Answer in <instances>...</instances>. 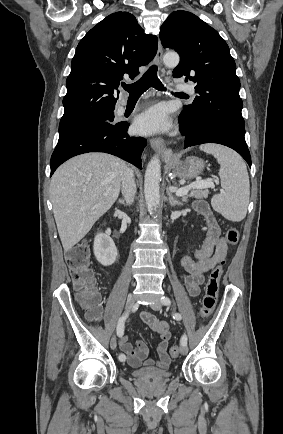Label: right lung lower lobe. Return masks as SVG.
Returning <instances> with one entry per match:
<instances>
[{"label": "right lung lower lobe", "mask_w": 283, "mask_h": 434, "mask_svg": "<svg viewBox=\"0 0 283 434\" xmlns=\"http://www.w3.org/2000/svg\"><path fill=\"white\" fill-rule=\"evenodd\" d=\"M126 122L89 123L59 135L51 156V175L69 158L88 152H105L118 156L142 169L141 154L147 141L142 137H129Z\"/></svg>", "instance_id": "98d812e1"}]
</instances>
